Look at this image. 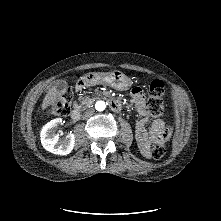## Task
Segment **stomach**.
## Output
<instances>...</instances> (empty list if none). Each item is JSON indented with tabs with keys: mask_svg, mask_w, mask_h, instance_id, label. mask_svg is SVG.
<instances>
[{
	"mask_svg": "<svg viewBox=\"0 0 221 221\" xmlns=\"http://www.w3.org/2000/svg\"><path fill=\"white\" fill-rule=\"evenodd\" d=\"M79 85L93 86L96 84H106L116 90H128L133 82L124 73L114 70L108 73L89 72L78 80Z\"/></svg>",
	"mask_w": 221,
	"mask_h": 221,
	"instance_id": "0dacf381",
	"label": "stomach"
}]
</instances>
